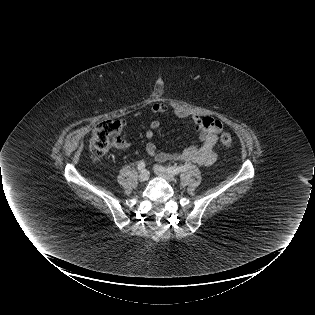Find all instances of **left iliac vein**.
Here are the masks:
<instances>
[{
	"label": "left iliac vein",
	"instance_id": "1",
	"mask_svg": "<svg viewBox=\"0 0 315 315\" xmlns=\"http://www.w3.org/2000/svg\"><path fill=\"white\" fill-rule=\"evenodd\" d=\"M154 171L161 176L162 178L166 179L167 181H173L174 176L164 167H154Z\"/></svg>",
	"mask_w": 315,
	"mask_h": 315
}]
</instances>
